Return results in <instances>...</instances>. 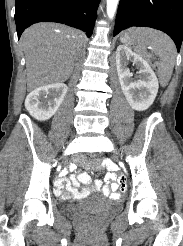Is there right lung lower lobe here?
<instances>
[{
  "label": "right lung lower lobe",
  "instance_id": "right-lung-lower-lobe-1",
  "mask_svg": "<svg viewBox=\"0 0 183 246\" xmlns=\"http://www.w3.org/2000/svg\"><path fill=\"white\" fill-rule=\"evenodd\" d=\"M100 0H16L15 23L18 39L37 22L63 23L93 33Z\"/></svg>",
  "mask_w": 183,
  "mask_h": 246
}]
</instances>
